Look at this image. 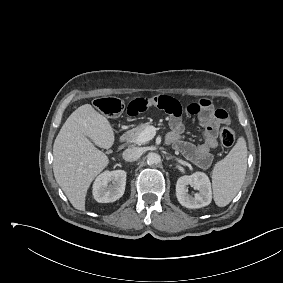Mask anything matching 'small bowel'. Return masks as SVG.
<instances>
[{"label":"small bowel","instance_id":"small-bowel-1","mask_svg":"<svg viewBox=\"0 0 283 283\" xmlns=\"http://www.w3.org/2000/svg\"><path fill=\"white\" fill-rule=\"evenodd\" d=\"M151 107L164 110L170 116L171 132L167 141L198 167L208 168L213 162L211 150L218 147V129L220 125L230 122L227 112L222 109L214 110L211 101L205 98L194 99L183 108L176 99L161 94L131 101L127 106V114L136 117ZM184 113L198 116L203 129L201 144L195 145L183 138Z\"/></svg>","mask_w":283,"mask_h":283}]
</instances>
